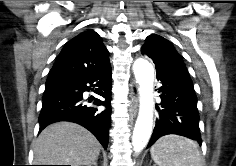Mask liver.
<instances>
[{
	"label": "liver",
	"mask_w": 236,
	"mask_h": 166,
	"mask_svg": "<svg viewBox=\"0 0 236 166\" xmlns=\"http://www.w3.org/2000/svg\"><path fill=\"white\" fill-rule=\"evenodd\" d=\"M98 140L82 126L57 122L46 127L34 143L35 165H92L100 154Z\"/></svg>",
	"instance_id": "obj_1"
}]
</instances>
